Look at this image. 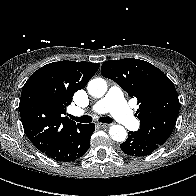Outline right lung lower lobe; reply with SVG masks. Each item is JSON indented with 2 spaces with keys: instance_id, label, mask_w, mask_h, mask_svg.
<instances>
[{
  "instance_id": "98d812e1",
  "label": "right lung lower lobe",
  "mask_w": 196,
  "mask_h": 196,
  "mask_svg": "<svg viewBox=\"0 0 196 196\" xmlns=\"http://www.w3.org/2000/svg\"><path fill=\"white\" fill-rule=\"evenodd\" d=\"M94 131L95 124H80L61 142L43 153L56 161H74L90 148V137Z\"/></svg>"
}]
</instances>
